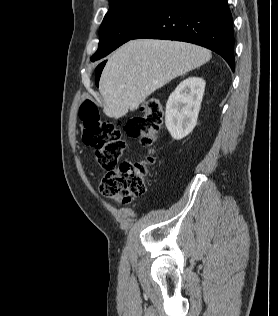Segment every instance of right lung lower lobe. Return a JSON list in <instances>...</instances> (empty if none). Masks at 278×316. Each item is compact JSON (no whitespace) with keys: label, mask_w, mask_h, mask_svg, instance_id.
I'll return each instance as SVG.
<instances>
[{"label":"right lung lower lobe","mask_w":278,"mask_h":316,"mask_svg":"<svg viewBox=\"0 0 278 316\" xmlns=\"http://www.w3.org/2000/svg\"><path fill=\"white\" fill-rule=\"evenodd\" d=\"M139 38L178 40L206 47L221 55L234 71V32L227 0H167L132 39Z\"/></svg>","instance_id":"right-lung-lower-lobe-1"}]
</instances>
